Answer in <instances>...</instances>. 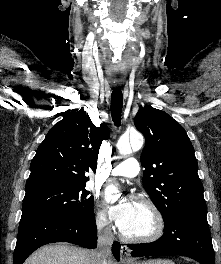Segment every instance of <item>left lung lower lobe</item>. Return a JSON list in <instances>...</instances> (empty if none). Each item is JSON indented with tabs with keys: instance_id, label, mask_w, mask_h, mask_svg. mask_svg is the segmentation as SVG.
<instances>
[{
	"instance_id": "0a47b994",
	"label": "left lung lower lobe",
	"mask_w": 221,
	"mask_h": 264,
	"mask_svg": "<svg viewBox=\"0 0 221 264\" xmlns=\"http://www.w3.org/2000/svg\"><path fill=\"white\" fill-rule=\"evenodd\" d=\"M131 255H183L201 264H215L211 235L206 217H174L164 221V234L146 244H128Z\"/></svg>"
}]
</instances>
